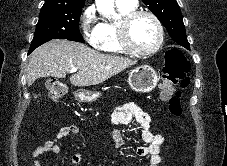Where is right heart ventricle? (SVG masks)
Segmentation results:
<instances>
[{"label":"right heart ventricle","instance_id":"e07e8e85","mask_svg":"<svg viewBox=\"0 0 227 166\" xmlns=\"http://www.w3.org/2000/svg\"><path fill=\"white\" fill-rule=\"evenodd\" d=\"M118 12L120 16H124L135 10V7H128L122 4L116 3ZM117 24L115 22H102L101 30H102V38L99 44V49L104 52L109 53H125L126 51L122 48L119 43L117 36Z\"/></svg>","mask_w":227,"mask_h":166}]
</instances>
